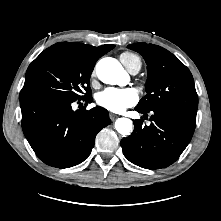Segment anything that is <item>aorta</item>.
<instances>
[{
  "label": "aorta",
  "mask_w": 221,
  "mask_h": 221,
  "mask_svg": "<svg viewBox=\"0 0 221 221\" xmlns=\"http://www.w3.org/2000/svg\"><path fill=\"white\" fill-rule=\"evenodd\" d=\"M96 74L102 82L115 85L121 82L126 72L116 59L103 58L96 65ZM132 128L133 122L128 118H119L115 122V129L121 135H129Z\"/></svg>",
  "instance_id": "aorta-1"
}]
</instances>
